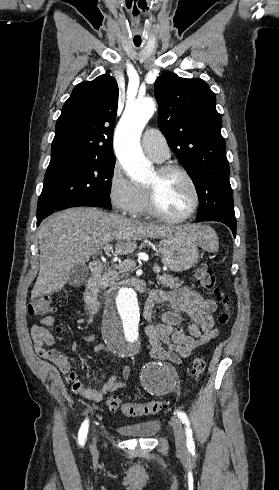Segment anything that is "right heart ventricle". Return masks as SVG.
I'll use <instances>...</instances> for the list:
<instances>
[{
  "label": "right heart ventricle",
  "mask_w": 279,
  "mask_h": 490,
  "mask_svg": "<svg viewBox=\"0 0 279 490\" xmlns=\"http://www.w3.org/2000/svg\"><path fill=\"white\" fill-rule=\"evenodd\" d=\"M143 195H144V208H143V213H146L148 211V195H147V189L141 188Z\"/></svg>",
  "instance_id": "1"
}]
</instances>
